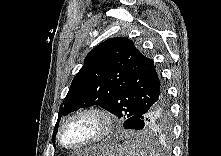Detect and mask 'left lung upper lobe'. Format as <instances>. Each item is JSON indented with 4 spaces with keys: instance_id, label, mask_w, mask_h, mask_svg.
<instances>
[{
    "instance_id": "1",
    "label": "left lung upper lobe",
    "mask_w": 221,
    "mask_h": 156,
    "mask_svg": "<svg viewBox=\"0 0 221 156\" xmlns=\"http://www.w3.org/2000/svg\"><path fill=\"white\" fill-rule=\"evenodd\" d=\"M162 88L152 59L141 54L130 39L111 38L86 56L58 117L99 105L127 120L154 104Z\"/></svg>"
}]
</instances>
